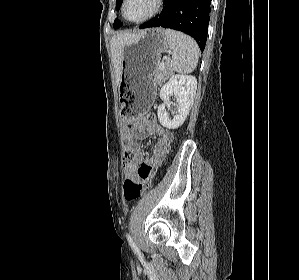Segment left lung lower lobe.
I'll list each match as a JSON object with an SVG mask.
<instances>
[{"label":"left lung lower lobe","mask_w":299,"mask_h":280,"mask_svg":"<svg viewBox=\"0 0 299 280\" xmlns=\"http://www.w3.org/2000/svg\"><path fill=\"white\" fill-rule=\"evenodd\" d=\"M211 0H164L162 12L140 28L164 27L192 36L204 50Z\"/></svg>","instance_id":"obj_1"}]
</instances>
